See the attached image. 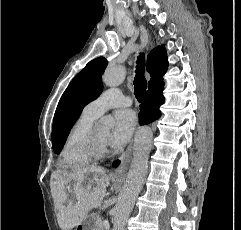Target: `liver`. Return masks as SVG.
I'll list each match as a JSON object with an SVG mask.
<instances>
[{
	"instance_id": "1",
	"label": "liver",
	"mask_w": 241,
	"mask_h": 230,
	"mask_svg": "<svg viewBox=\"0 0 241 230\" xmlns=\"http://www.w3.org/2000/svg\"><path fill=\"white\" fill-rule=\"evenodd\" d=\"M50 184L59 227L71 230L81 224L91 209L102 205L110 177L103 168L90 166L71 172L56 170L51 175ZM67 190L73 193L75 201L68 202Z\"/></svg>"
}]
</instances>
